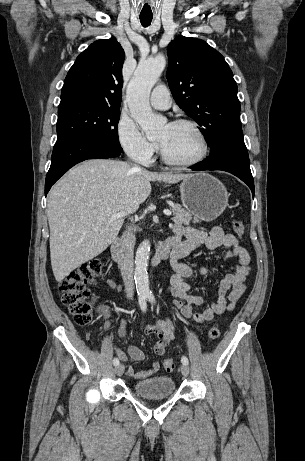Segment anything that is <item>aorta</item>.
<instances>
[{
    "label": "aorta",
    "mask_w": 305,
    "mask_h": 461,
    "mask_svg": "<svg viewBox=\"0 0 305 461\" xmlns=\"http://www.w3.org/2000/svg\"><path fill=\"white\" fill-rule=\"evenodd\" d=\"M165 65L166 60L163 56L141 61L127 87L126 97L131 117L141 126L147 138L158 136L166 124V118L155 115L149 104L151 89L163 72ZM150 246V242L144 240L136 252L134 279L139 297L151 295L147 272Z\"/></svg>",
    "instance_id": "aorta-1"
}]
</instances>
